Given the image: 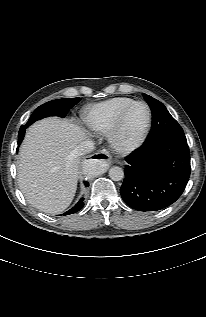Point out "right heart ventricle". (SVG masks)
Instances as JSON below:
<instances>
[{
	"mask_svg": "<svg viewBox=\"0 0 206 317\" xmlns=\"http://www.w3.org/2000/svg\"><path fill=\"white\" fill-rule=\"evenodd\" d=\"M132 102L134 100L131 98L115 97L94 104L84 114V122L93 132L107 134L113 127L118 114Z\"/></svg>",
	"mask_w": 206,
	"mask_h": 317,
	"instance_id": "1",
	"label": "right heart ventricle"
}]
</instances>
